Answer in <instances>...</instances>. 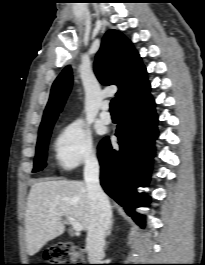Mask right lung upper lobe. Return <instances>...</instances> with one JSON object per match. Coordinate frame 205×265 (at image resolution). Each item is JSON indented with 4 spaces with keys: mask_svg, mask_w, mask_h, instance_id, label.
Masks as SVG:
<instances>
[{
    "mask_svg": "<svg viewBox=\"0 0 205 265\" xmlns=\"http://www.w3.org/2000/svg\"><path fill=\"white\" fill-rule=\"evenodd\" d=\"M94 68L102 84L118 86L116 98L120 110L138 103L149 94L150 84L139 53L118 30L111 29L104 35ZM72 81L71 68L67 66L52 85L40 130L54 125L71 90Z\"/></svg>",
    "mask_w": 205,
    "mask_h": 265,
    "instance_id": "cb5924a9",
    "label": "right lung upper lobe"
}]
</instances>
